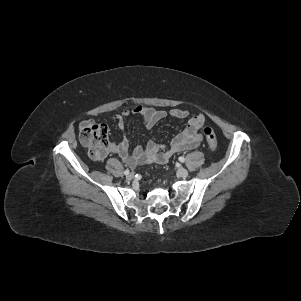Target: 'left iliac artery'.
I'll return each mask as SVG.
<instances>
[{
	"instance_id": "44dca946",
	"label": "left iliac artery",
	"mask_w": 301,
	"mask_h": 301,
	"mask_svg": "<svg viewBox=\"0 0 301 301\" xmlns=\"http://www.w3.org/2000/svg\"><path fill=\"white\" fill-rule=\"evenodd\" d=\"M178 159H179V161L182 162V163L185 162V158H184L183 156H180Z\"/></svg>"
}]
</instances>
